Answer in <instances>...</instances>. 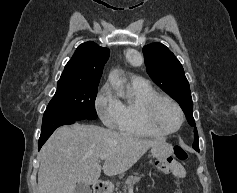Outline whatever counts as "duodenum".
<instances>
[{"mask_svg":"<svg viewBox=\"0 0 237 193\" xmlns=\"http://www.w3.org/2000/svg\"><path fill=\"white\" fill-rule=\"evenodd\" d=\"M94 193H107V183L99 180L94 183Z\"/></svg>","mask_w":237,"mask_h":193,"instance_id":"410a0bca","label":"duodenum"}]
</instances>
